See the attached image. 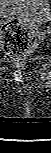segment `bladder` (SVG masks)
<instances>
[{
  "label": "bladder",
  "mask_w": 51,
  "mask_h": 153,
  "mask_svg": "<svg viewBox=\"0 0 51 153\" xmlns=\"http://www.w3.org/2000/svg\"><path fill=\"white\" fill-rule=\"evenodd\" d=\"M1 9L36 24H43L51 17L49 0H1Z\"/></svg>",
  "instance_id": "31cf9c89"
}]
</instances>
